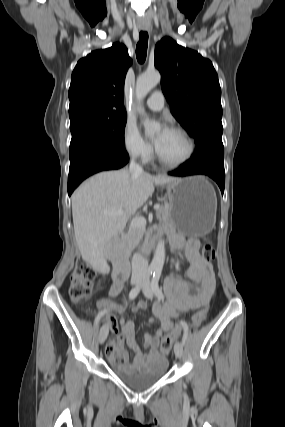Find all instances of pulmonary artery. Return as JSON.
Wrapping results in <instances>:
<instances>
[{
	"mask_svg": "<svg viewBox=\"0 0 285 427\" xmlns=\"http://www.w3.org/2000/svg\"><path fill=\"white\" fill-rule=\"evenodd\" d=\"M164 104H165V99L161 91L153 92L146 101V105L154 111L161 110L164 107Z\"/></svg>",
	"mask_w": 285,
	"mask_h": 427,
	"instance_id": "e3ab8cb5",
	"label": "pulmonary artery"
}]
</instances>
